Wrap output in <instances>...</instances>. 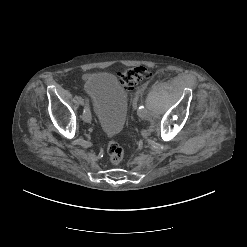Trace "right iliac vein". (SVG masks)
I'll return each mask as SVG.
<instances>
[{"instance_id": "63e3f726", "label": "right iliac vein", "mask_w": 247, "mask_h": 247, "mask_svg": "<svg viewBox=\"0 0 247 247\" xmlns=\"http://www.w3.org/2000/svg\"><path fill=\"white\" fill-rule=\"evenodd\" d=\"M83 119L86 122H90L91 121V112H90V108H89V104L88 103H87L86 107H84Z\"/></svg>"}]
</instances>
